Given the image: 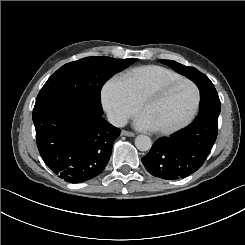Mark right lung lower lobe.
<instances>
[{"label":"right lung lower lobe","mask_w":245,"mask_h":245,"mask_svg":"<svg viewBox=\"0 0 245 245\" xmlns=\"http://www.w3.org/2000/svg\"><path fill=\"white\" fill-rule=\"evenodd\" d=\"M36 142L45 164L60 178L81 183L107 165L121 130L84 106L67 101L34 107Z\"/></svg>","instance_id":"1"}]
</instances>
